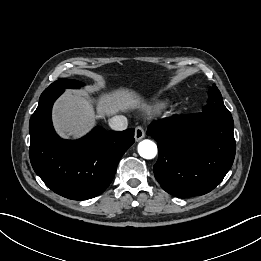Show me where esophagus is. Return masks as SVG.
<instances>
[{"mask_svg": "<svg viewBox=\"0 0 261 261\" xmlns=\"http://www.w3.org/2000/svg\"><path fill=\"white\" fill-rule=\"evenodd\" d=\"M145 137V132L144 129L140 126L135 128V133H134V138L136 141L141 140L142 138Z\"/></svg>", "mask_w": 261, "mask_h": 261, "instance_id": "1", "label": "esophagus"}]
</instances>
